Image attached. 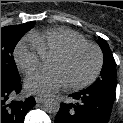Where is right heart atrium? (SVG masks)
Here are the masks:
<instances>
[{
	"mask_svg": "<svg viewBox=\"0 0 123 123\" xmlns=\"http://www.w3.org/2000/svg\"><path fill=\"white\" fill-rule=\"evenodd\" d=\"M40 49L29 39H22L14 50V59L19 70L30 74L36 70L43 61Z\"/></svg>",
	"mask_w": 123,
	"mask_h": 123,
	"instance_id": "d8ad5b80",
	"label": "right heart atrium"
}]
</instances>
